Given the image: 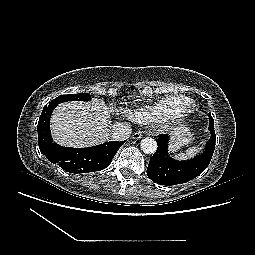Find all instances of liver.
Returning <instances> with one entry per match:
<instances>
[{"mask_svg": "<svg viewBox=\"0 0 255 255\" xmlns=\"http://www.w3.org/2000/svg\"><path fill=\"white\" fill-rule=\"evenodd\" d=\"M110 115L103 100L67 102L51 117V132L56 143L70 147L94 146L109 140Z\"/></svg>", "mask_w": 255, "mask_h": 255, "instance_id": "1", "label": "liver"}]
</instances>
